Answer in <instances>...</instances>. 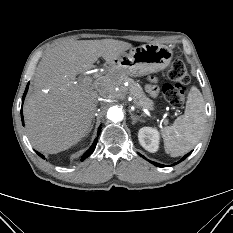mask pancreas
<instances>
[{
    "label": "pancreas",
    "instance_id": "obj_1",
    "mask_svg": "<svg viewBox=\"0 0 233 233\" xmlns=\"http://www.w3.org/2000/svg\"><path fill=\"white\" fill-rule=\"evenodd\" d=\"M116 79L120 83L128 82V89L131 97L133 98V103L137 107H145L148 109L153 108V101L149 99L146 94L144 93L142 87L136 83L133 79L127 77L125 74H123L121 71H118L116 74Z\"/></svg>",
    "mask_w": 233,
    "mask_h": 233
}]
</instances>
